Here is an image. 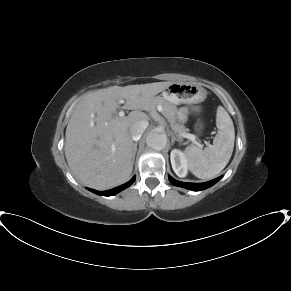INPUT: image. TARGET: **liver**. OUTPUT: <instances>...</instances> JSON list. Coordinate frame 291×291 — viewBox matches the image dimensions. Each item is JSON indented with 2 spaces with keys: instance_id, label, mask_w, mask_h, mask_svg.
<instances>
[{
  "instance_id": "6515ba94",
  "label": "liver",
  "mask_w": 291,
  "mask_h": 291,
  "mask_svg": "<svg viewBox=\"0 0 291 291\" xmlns=\"http://www.w3.org/2000/svg\"><path fill=\"white\" fill-rule=\"evenodd\" d=\"M172 82L112 86L86 95L76 106L65 134V156L72 173L85 185L109 189L124 183L133 170L130 127L148 121L142 112ZM132 110L119 117L118 101Z\"/></svg>"
}]
</instances>
